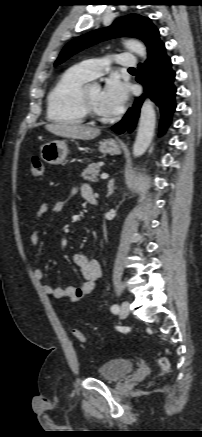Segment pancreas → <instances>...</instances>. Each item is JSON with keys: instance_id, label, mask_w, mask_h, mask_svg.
Listing matches in <instances>:
<instances>
[{"instance_id": "obj_1", "label": "pancreas", "mask_w": 202, "mask_h": 437, "mask_svg": "<svg viewBox=\"0 0 202 437\" xmlns=\"http://www.w3.org/2000/svg\"><path fill=\"white\" fill-rule=\"evenodd\" d=\"M100 173V164L99 163H91L88 167L82 172V177L84 180L90 182H96L98 180V175Z\"/></svg>"}]
</instances>
